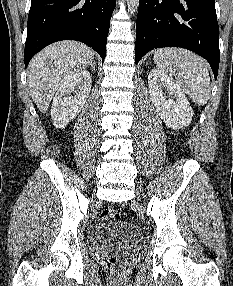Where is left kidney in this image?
<instances>
[{"label": "left kidney", "instance_id": "1", "mask_svg": "<svg viewBox=\"0 0 233 286\" xmlns=\"http://www.w3.org/2000/svg\"><path fill=\"white\" fill-rule=\"evenodd\" d=\"M148 88L156 112L166 126L174 130L189 126L193 110L180 86L168 75L152 69Z\"/></svg>", "mask_w": 233, "mask_h": 286}]
</instances>
